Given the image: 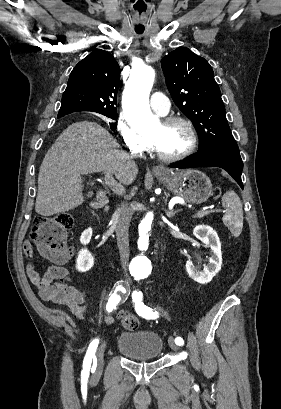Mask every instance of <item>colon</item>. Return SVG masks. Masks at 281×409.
Masks as SVG:
<instances>
[{
	"mask_svg": "<svg viewBox=\"0 0 281 409\" xmlns=\"http://www.w3.org/2000/svg\"><path fill=\"white\" fill-rule=\"evenodd\" d=\"M73 223V217L68 213L36 216L30 238L31 245L43 250L57 263H65L70 256L66 231L73 226ZM26 249L32 248L27 246ZM118 320L129 330H135L139 326L138 318L126 312H120Z\"/></svg>",
	"mask_w": 281,
	"mask_h": 409,
	"instance_id": "5ec220e1",
	"label": "colon"
}]
</instances>
